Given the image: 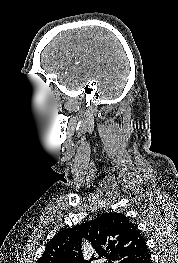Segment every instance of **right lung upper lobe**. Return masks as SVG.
Listing matches in <instances>:
<instances>
[{"mask_svg": "<svg viewBox=\"0 0 178 263\" xmlns=\"http://www.w3.org/2000/svg\"><path fill=\"white\" fill-rule=\"evenodd\" d=\"M82 238L91 241L98 259L107 258L106 263H139L149 253L137 225L123 213L109 212L59 232L47 243L38 263H88L83 259Z\"/></svg>", "mask_w": 178, "mask_h": 263, "instance_id": "cb5924a9", "label": "right lung upper lobe"}]
</instances>
